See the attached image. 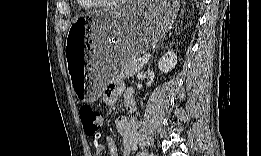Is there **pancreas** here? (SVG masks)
<instances>
[{
    "mask_svg": "<svg viewBox=\"0 0 261 156\" xmlns=\"http://www.w3.org/2000/svg\"><path fill=\"white\" fill-rule=\"evenodd\" d=\"M139 56L131 57L122 67L119 75L122 77L133 76L135 73L140 71L144 66L145 62L138 61Z\"/></svg>",
    "mask_w": 261,
    "mask_h": 156,
    "instance_id": "obj_1",
    "label": "pancreas"
}]
</instances>
